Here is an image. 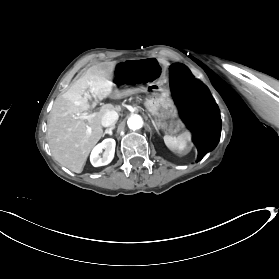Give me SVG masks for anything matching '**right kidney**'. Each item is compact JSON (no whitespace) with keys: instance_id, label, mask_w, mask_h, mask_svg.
Returning <instances> with one entry per match:
<instances>
[{"instance_id":"right-kidney-1","label":"right kidney","mask_w":279,"mask_h":279,"mask_svg":"<svg viewBox=\"0 0 279 279\" xmlns=\"http://www.w3.org/2000/svg\"><path fill=\"white\" fill-rule=\"evenodd\" d=\"M116 142L112 138L104 139L101 143L97 144L90 155L91 164L94 167L104 166L109 164L115 153ZM104 150V152H103ZM100 156V153H102Z\"/></svg>"}]
</instances>
